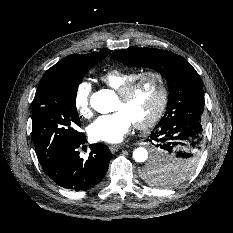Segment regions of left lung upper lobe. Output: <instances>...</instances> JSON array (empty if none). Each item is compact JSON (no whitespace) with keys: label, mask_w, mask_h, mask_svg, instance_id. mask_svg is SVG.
<instances>
[{"label":"left lung upper lobe","mask_w":233,"mask_h":233,"mask_svg":"<svg viewBox=\"0 0 233 233\" xmlns=\"http://www.w3.org/2000/svg\"><path fill=\"white\" fill-rule=\"evenodd\" d=\"M111 58L130 67H147L163 75L169 87L167 110L159 123L183 116L201 121L204 110L202 81L196 70L181 56L166 50L133 48L115 51ZM200 156L171 158L168 163H149L142 177L159 186L178 185L195 171Z\"/></svg>","instance_id":"left-lung-upper-lobe-1"}]
</instances>
